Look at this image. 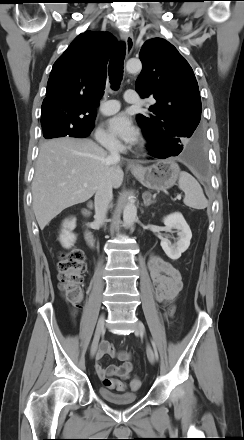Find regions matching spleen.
Instances as JSON below:
<instances>
[{
  "label": "spleen",
  "instance_id": "1",
  "mask_svg": "<svg viewBox=\"0 0 244 440\" xmlns=\"http://www.w3.org/2000/svg\"><path fill=\"white\" fill-rule=\"evenodd\" d=\"M179 188L185 193L183 202L186 206L193 209H205L208 201L198 181L187 172H180Z\"/></svg>",
  "mask_w": 244,
  "mask_h": 440
}]
</instances>
